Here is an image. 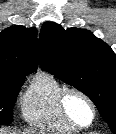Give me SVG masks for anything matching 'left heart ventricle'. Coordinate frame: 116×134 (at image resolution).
<instances>
[{
    "label": "left heart ventricle",
    "instance_id": "1",
    "mask_svg": "<svg viewBox=\"0 0 116 134\" xmlns=\"http://www.w3.org/2000/svg\"><path fill=\"white\" fill-rule=\"evenodd\" d=\"M67 109L70 115L80 124L87 125L91 122V109L81 97L70 95L67 99Z\"/></svg>",
    "mask_w": 116,
    "mask_h": 134
}]
</instances>
